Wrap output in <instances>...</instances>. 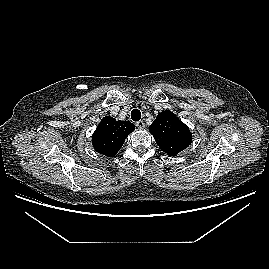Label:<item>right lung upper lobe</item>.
<instances>
[{
	"label": "right lung upper lobe",
	"mask_w": 269,
	"mask_h": 269,
	"mask_svg": "<svg viewBox=\"0 0 269 269\" xmlns=\"http://www.w3.org/2000/svg\"><path fill=\"white\" fill-rule=\"evenodd\" d=\"M134 129V124L129 121H116L112 117L105 116L93 133V147L98 153L112 157Z\"/></svg>",
	"instance_id": "cb5924a9"
}]
</instances>
